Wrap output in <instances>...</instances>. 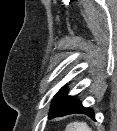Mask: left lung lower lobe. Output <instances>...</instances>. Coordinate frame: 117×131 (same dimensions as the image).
I'll list each match as a JSON object with an SVG mask.
<instances>
[{
	"instance_id": "left-lung-lower-lobe-1",
	"label": "left lung lower lobe",
	"mask_w": 117,
	"mask_h": 131,
	"mask_svg": "<svg viewBox=\"0 0 117 131\" xmlns=\"http://www.w3.org/2000/svg\"><path fill=\"white\" fill-rule=\"evenodd\" d=\"M72 113H83L94 119V112L90 108H85L81 105V103L76 100L73 101L72 104L68 106L62 113L61 116L67 115V114H72Z\"/></svg>"
}]
</instances>
